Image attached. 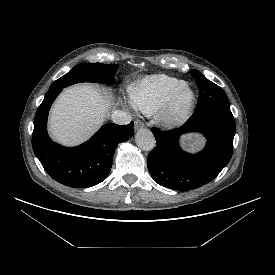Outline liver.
Listing matches in <instances>:
<instances>
[{"mask_svg": "<svg viewBox=\"0 0 275 275\" xmlns=\"http://www.w3.org/2000/svg\"><path fill=\"white\" fill-rule=\"evenodd\" d=\"M110 102L89 84L66 88L51 109L49 130L52 138L64 145L84 142L103 123Z\"/></svg>", "mask_w": 275, "mask_h": 275, "instance_id": "1", "label": "liver"}]
</instances>
